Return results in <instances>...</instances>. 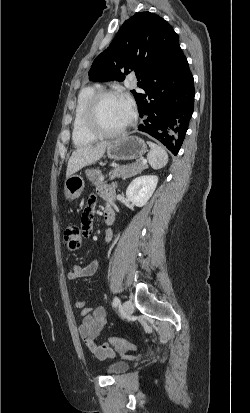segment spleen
Masks as SVG:
<instances>
[{
	"label": "spleen",
	"instance_id": "obj_1",
	"mask_svg": "<svg viewBox=\"0 0 250 413\" xmlns=\"http://www.w3.org/2000/svg\"><path fill=\"white\" fill-rule=\"evenodd\" d=\"M150 151L147 154V160L153 169L163 168L168 162V154L159 145L148 142Z\"/></svg>",
	"mask_w": 250,
	"mask_h": 413
}]
</instances>
